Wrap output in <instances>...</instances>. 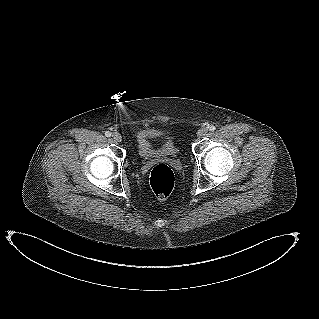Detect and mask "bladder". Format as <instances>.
<instances>
[{
	"label": "bladder",
	"mask_w": 319,
	"mask_h": 319,
	"mask_svg": "<svg viewBox=\"0 0 319 319\" xmlns=\"http://www.w3.org/2000/svg\"><path fill=\"white\" fill-rule=\"evenodd\" d=\"M161 136L157 130L149 129L139 132L136 136V147L138 155L144 159L173 158L179 153L172 139L165 137L159 144L154 140Z\"/></svg>",
	"instance_id": "31cf9c89"
}]
</instances>
